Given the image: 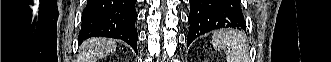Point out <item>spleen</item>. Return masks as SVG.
<instances>
[{
    "label": "spleen",
    "instance_id": "obj_1",
    "mask_svg": "<svg viewBox=\"0 0 331 62\" xmlns=\"http://www.w3.org/2000/svg\"><path fill=\"white\" fill-rule=\"evenodd\" d=\"M216 50L224 49L227 62H249V48L246 36L236 30L216 31L212 37Z\"/></svg>",
    "mask_w": 331,
    "mask_h": 62
}]
</instances>
